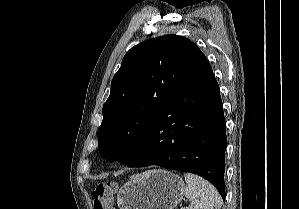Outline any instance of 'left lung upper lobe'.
Returning a JSON list of instances; mask_svg holds the SVG:
<instances>
[{
  "label": "left lung upper lobe",
  "instance_id": "left-lung-upper-lobe-1",
  "mask_svg": "<svg viewBox=\"0 0 299 209\" xmlns=\"http://www.w3.org/2000/svg\"><path fill=\"white\" fill-rule=\"evenodd\" d=\"M209 64L190 40L177 35L132 47L112 79L98 129V148L108 161L128 163L163 104Z\"/></svg>",
  "mask_w": 299,
  "mask_h": 209
}]
</instances>
